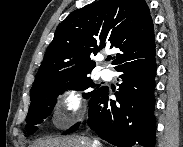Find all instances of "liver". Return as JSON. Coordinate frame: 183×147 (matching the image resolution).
Masks as SVG:
<instances>
[{
    "mask_svg": "<svg viewBox=\"0 0 183 147\" xmlns=\"http://www.w3.org/2000/svg\"><path fill=\"white\" fill-rule=\"evenodd\" d=\"M93 141L87 137L69 136L36 141L31 147H92Z\"/></svg>",
    "mask_w": 183,
    "mask_h": 147,
    "instance_id": "liver-1",
    "label": "liver"
}]
</instances>
